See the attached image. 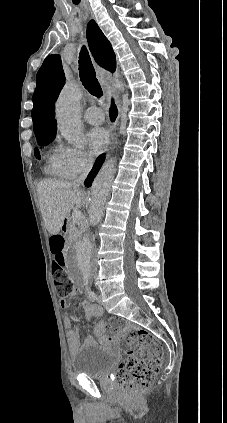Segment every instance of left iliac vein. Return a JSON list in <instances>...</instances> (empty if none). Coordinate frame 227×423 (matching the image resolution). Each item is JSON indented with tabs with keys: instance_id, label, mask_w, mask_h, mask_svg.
Masks as SVG:
<instances>
[{
	"instance_id": "4c4485c4",
	"label": "left iliac vein",
	"mask_w": 227,
	"mask_h": 423,
	"mask_svg": "<svg viewBox=\"0 0 227 423\" xmlns=\"http://www.w3.org/2000/svg\"><path fill=\"white\" fill-rule=\"evenodd\" d=\"M97 301H98V303H102L103 302V299H102V296L101 295H98Z\"/></svg>"
}]
</instances>
